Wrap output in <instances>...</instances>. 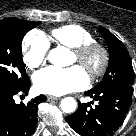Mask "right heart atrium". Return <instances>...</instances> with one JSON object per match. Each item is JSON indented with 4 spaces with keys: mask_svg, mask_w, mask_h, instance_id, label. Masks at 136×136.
<instances>
[{
    "mask_svg": "<svg viewBox=\"0 0 136 136\" xmlns=\"http://www.w3.org/2000/svg\"><path fill=\"white\" fill-rule=\"evenodd\" d=\"M50 43L46 36L37 30L29 32L22 42L23 62L29 69L42 65L47 57Z\"/></svg>",
    "mask_w": 136,
    "mask_h": 136,
    "instance_id": "1",
    "label": "right heart atrium"
}]
</instances>
